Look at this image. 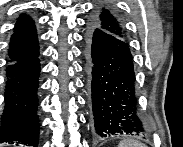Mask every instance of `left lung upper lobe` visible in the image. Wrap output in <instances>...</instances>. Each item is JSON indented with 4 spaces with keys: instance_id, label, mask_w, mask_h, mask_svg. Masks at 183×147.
Returning a JSON list of instances; mask_svg holds the SVG:
<instances>
[{
    "instance_id": "left-lung-upper-lobe-1",
    "label": "left lung upper lobe",
    "mask_w": 183,
    "mask_h": 147,
    "mask_svg": "<svg viewBox=\"0 0 183 147\" xmlns=\"http://www.w3.org/2000/svg\"><path fill=\"white\" fill-rule=\"evenodd\" d=\"M94 28L104 30L120 39H125L124 30L117 17L110 10L103 8L99 16L91 21Z\"/></svg>"
}]
</instances>
